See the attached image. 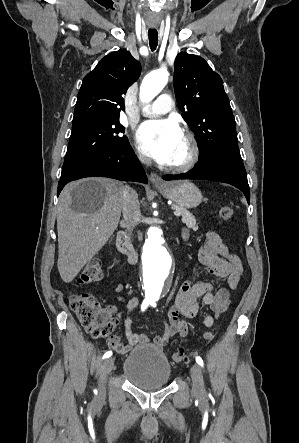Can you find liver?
Instances as JSON below:
<instances>
[{
	"label": "liver",
	"instance_id": "6515ba94",
	"mask_svg": "<svg viewBox=\"0 0 299 443\" xmlns=\"http://www.w3.org/2000/svg\"><path fill=\"white\" fill-rule=\"evenodd\" d=\"M123 183L90 178L64 187L57 206L58 271L71 282L116 230L122 211Z\"/></svg>",
	"mask_w": 299,
	"mask_h": 443
}]
</instances>
